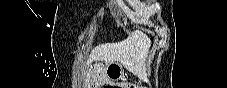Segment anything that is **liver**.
Listing matches in <instances>:
<instances>
[{"label":"liver","mask_w":227,"mask_h":88,"mask_svg":"<svg viewBox=\"0 0 227 88\" xmlns=\"http://www.w3.org/2000/svg\"><path fill=\"white\" fill-rule=\"evenodd\" d=\"M150 43L146 34L136 30L123 41L97 47L89 61L98 59L106 63L120 62L128 70L138 71L146 60Z\"/></svg>","instance_id":"obj_1"}]
</instances>
